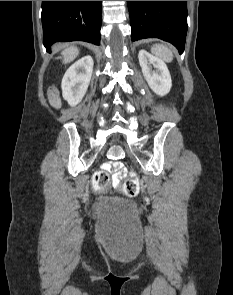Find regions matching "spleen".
<instances>
[{
  "label": "spleen",
  "instance_id": "1",
  "mask_svg": "<svg viewBox=\"0 0 233 295\" xmlns=\"http://www.w3.org/2000/svg\"><path fill=\"white\" fill-rule=\"evenodd\" d=\"M151 51L167 62H171L173 59V53H172L171 49L168 48L166 45L155 44L151 48Z\"/></svg>",
  "mask_w": 233,
  "mask_h": 295
}]
</instances>
